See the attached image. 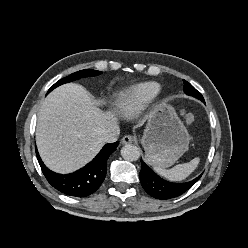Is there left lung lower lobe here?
<instances>
[{"label": "left lung lower lobe", "mask_w": 248, "mask_h": 248, "mask_svg": "<svg viewBox=\"0 0 248 248\" xmlns=\"http://www.w3.org/2000/svg\"><path fill=\"white\" fill-rule=\"evenodd\" d=\"M140 171V181L144 190L157 199H171L182 195L190 189L202 176L186 183H172L160 178L142 160Z\"/></svg>", "instance_id": "0a47b994"}]
</instances>
